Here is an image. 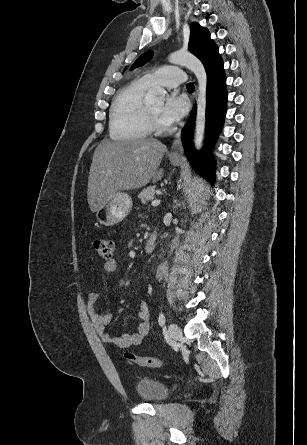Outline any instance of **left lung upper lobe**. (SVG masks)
<instances>
[{
	"instance_id": "1",
	"label": "left lung upper lobe",
	"mask_w": 307,
	"mask_h": 445,
	"mask_svg": "<svg viewBox=\"0 0 307 445\" xmlns=\"http://www.w3.org/2000/svg\"><path fill=\"white\" fill-rule=\"evenodd\" d=\"M189 50L201 60L205 68L210 62L220 58L217 46L210 39L209 31L206 28H202L196 22L190 26ZM151 57V51L144 53L135 61L131 69L144 65Z\"/></svg>"
}]
</instances>
